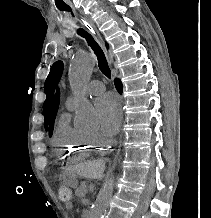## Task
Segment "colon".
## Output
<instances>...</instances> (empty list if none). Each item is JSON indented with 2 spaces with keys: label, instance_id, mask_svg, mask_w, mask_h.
Masks as SVG:
<instances>
[{
  "label": "colon",
  "instance_id": "colon-1",
  "mask_svg": "<svg viewBox=\"0 0 211 218\" xmlns=\"http://www.w3.org/2000/svg\"><path fill=\"white\" fill-rule=\"evenodd\" d=\"M57 194L59 199L64 203L70 202L72 200L71 189L66 185L59 186Z\"/></svg>",
  "mask_w": 211,
  "mask_h": 218
}]
</instances>
